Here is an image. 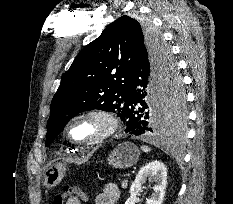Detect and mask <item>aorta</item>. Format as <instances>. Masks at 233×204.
<instances>
[{"mask_svg": "<svg viewBox=\"0 0 233 204\" xmlns=\"http://www.w3.org/2000/svg\"><path fill=\"white\" fill-rule=\"evenodd\" d=\"M153 105V108H154V111L155 112H159L160 110H161V106H159V105H154V104H152Z\"/></svg>", "mask_w": 233, "mask_h": 204, "instance_id": "1", "label": "aorta"}]
</instances>
